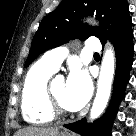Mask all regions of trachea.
Here are the masks:
<instances>
[{"label": "trachea", "instance_id": "1", "mask_svg": "<svg viewBox=\"0 0 136 136\" xmlns=\"http://www.w3.org/2000/svg\"><path fill=\"white\" fill-rule=\"evenodd\" d=\"M94 55H95V56H99V54H98V53H95Z\"/></svg>", "mask_w": 136, "mask_h": 136}]
</instances>
